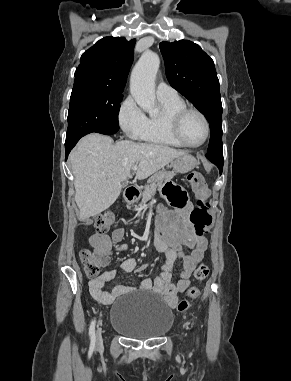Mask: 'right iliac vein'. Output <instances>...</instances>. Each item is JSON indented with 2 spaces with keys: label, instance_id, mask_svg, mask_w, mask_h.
<instances>
[{
  "label": "right iliac vein",
  "instance_id": "obj_1",
  "mask_svg": "<svg viewBox=\"0 0 291 381\" xmlns=\"http://www.w3.org/2000/svg\"><path fill=\"white\" fill-rule=\"evenodd\" d=\"M95 344H96V347H99L102 344V331L100 328L96 332Z\"/></svg>",
  "mask_w": 291,
  "mask_h": 381
}]
</instances>
